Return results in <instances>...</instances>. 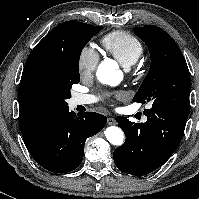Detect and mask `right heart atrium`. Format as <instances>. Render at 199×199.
<instances>
[{
	"instance_id": "right-heart-atrium-1",
	"label": "right heart atrium",
	"mask_w": 199,
	"mask_h": 199,
	"mask_svg": "<svg viewBox=\"0 0 199 199\" xmlns=\"http://www.w3.org/2000/svg\"><path fill=\"white\" fill-rule=\"evenodd\" d=\"M99 62L98 53L90 46H84L78 57V70L81 76L94 73Z\"/></svg>"
}]
</instances>
